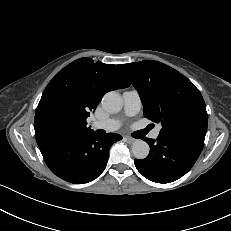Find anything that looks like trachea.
Here are the masks:
<instances>
[{"label":"trachea","mask_w":231,"mask_h":231,"mask_svg":"<svg viewBox=\"0 0 231 231\" xmlns=\"http://www.w3.org/2000/svg\"><path fill=\"white\" fill-rule=\"evenodd\" d=\"M151 129H152V126L149 125L146 129L139 132V136H144ZM135 138H139V137H135Z\"/></svg>","instance_id":"trachea-1"}]
</instances>
